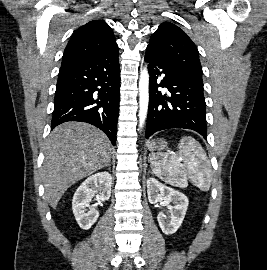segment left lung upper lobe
<instances>
[{"label": "left lung upper lobe", "mask_w": 267, "mask_h": 270, "mask_svg": "<svg viewBox=\"0 0 267 270\" xmlns=\"http://www.w3.org/2000/svg\"><path fill=\"white\" fill-rule=\"evenodd\" d=\"M147 49L183 75L203 84L197 47L178 26L161 23L152 34Z\"/></svg>", "instance_id": "1"}]
</instances>
